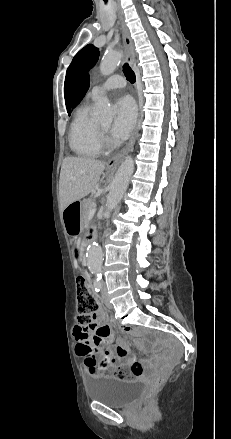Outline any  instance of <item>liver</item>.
<instances>
[{
    "mask_svg": "<svg viewBox=\"0 0 231 439\" xmlns=\"http://www.w3.org/2000/svg\"><path fill=\"white\" fill-rule=\"evenodd\" d=\"M105 163L85 157H66L63 160L59 196L60 207L63 211L73 202L94 192L104 175Z\"/></svg>",
    "mask_w": 231,
    "mask_h": 439,
    "instance_id": "6515ba94",
    "label": "liver"
}]
</instances>
